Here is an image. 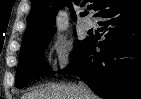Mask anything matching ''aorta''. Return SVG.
Here are the masks:
<instances>
[{"label":"aorta","instance_id":"762f6f07","mask_svg":"<svg viewBox=\"0 0 141 99\" xmlns=\"http://www.w3.org/2000/svg\"><path fill=\"white\" fill-rule=\"evenodd\" d=\"M57 29L60 32H64L67 29V19L63 13H59L57 16Z\"/></svg>","mask_w":141,"mask_h":99}]
</instances>
